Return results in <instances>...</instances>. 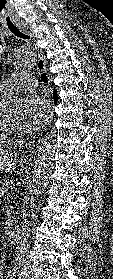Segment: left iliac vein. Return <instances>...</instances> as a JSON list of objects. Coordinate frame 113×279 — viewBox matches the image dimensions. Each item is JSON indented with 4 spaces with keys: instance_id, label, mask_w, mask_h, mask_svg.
I'll list each match as a JSON object with an SVG mask.
<instances>
[{
    "instance_id": "1",
    "label": "left iliac vein",
    "mask_w": 113,
    "mask_h": 279,
    "mask_svg": "<svg viewBox=\"0 0 113 279\" xmlns=\"http://www.w3.org/2000/svg\"><path fill=\"white\" fill-rule=\"evenodd\" d=\"M24 279H34L32 276L23 277Z\"/></svg>"
}]
</instances>
